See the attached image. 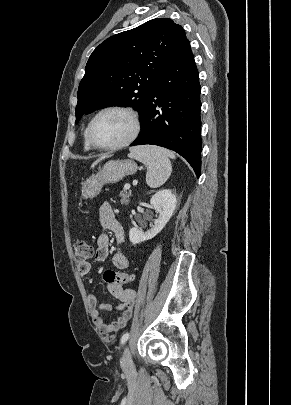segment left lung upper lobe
Here are the masks:
<instances>
[{"instance_id": "obj_1", "label": "left lung upper lobe", "mask_w": 291, "mask_h": 405, "mask_svg": "<svg viewBox=\"0 0 291 405\" xmlns=\"http://www.w3.org/2000/svg\"><path fill=\"white\" fill-rule=\"evenodd\" d=\"M186 39L180 25L157 18L102 42L80 82L75 123L84 114L116 105L138 109L141 123L154 82Z\"/></svg>"}]
</instances>
